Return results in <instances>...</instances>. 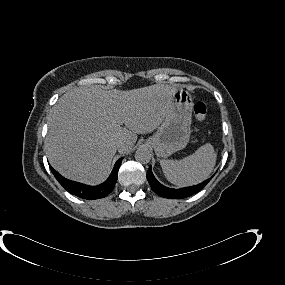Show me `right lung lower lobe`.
I'll use <instances>...</instances> for the list:
<instances>
[{"label": "right lung lower lobe", "instance_id": "right-lung-lower-lobe-1", "mask_svg": "<svg viewBox=\"0 0 285 285\" xmlns=\"http://www.w3.org/2000/svg\"><path fill=\"white\" fill-rule=\"evenodd\" d=\"M122 158L119 159L110 175V177L101 185L98 186H88L85 184H81L78 182L70 181L63 176H61L57 171H55L51 166L50 169L52 173L54 174L55 178L58 180V182L64 187L65 190H67L72 195H75L77 197L83 198V199H99L107 196L114 188L117 177H118V170L121 165Z\"/></svg>", "mask_w": 285, "mask_h": 285}]
</instances>
